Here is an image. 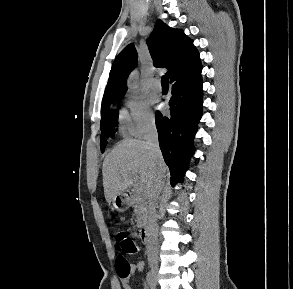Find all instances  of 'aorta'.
Here are the masks:
<instances>
[{"instance_id":"762f6f07","label":"aorta","mask_w":293,"mask_h":289,"mask_svg":"<svg viewBox=\"0 0 293 289\" xmlns=\"http://www.w3.org/2000/svg\"><path fill=\"white\" fill-rule=\"evenodd\" d=\"M128 86L131 89H135L138 86V78L137 75L134 73L130 76L129 80H128Z\"/></svg>"}]
</instances>
